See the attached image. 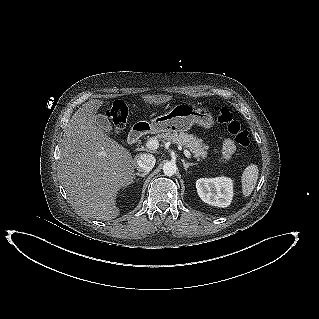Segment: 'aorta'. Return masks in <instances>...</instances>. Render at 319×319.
Masks as SVG:
<instances>
[{"label": "aorta", "mask_w": 319, "mask_h": 319, "mask_svg": "<svg viewBox=\"0 0 319 319\" xmlns=\"http://www.w3.org/2000/svg\"><path fill=\"white\" fill-rule=\"evenodd\" d=\"M177 171V165L174 162L168 161L163 165V172L165 175H174Z\"/></svg>", "instance_id": "obj_1"}]
</instances>
